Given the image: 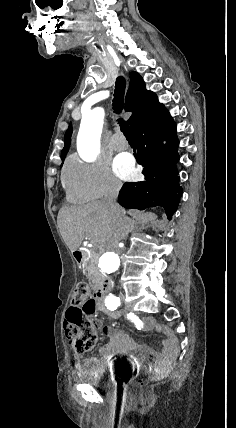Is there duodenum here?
Returning a JSON list of instances; mask_svg holds the SVG:
<instances>
[{
    "instance_id": "obj_1",
    "label": "duodenum",
    "mask_w": 236,
    "mask_h": 428,
    "mask_svg": "<svg viewBox=\"0 0 236 428\" xmlns=\"http://www.w3.org/2000/svg\"><path fill=\"white\" fill-rule=\"evenodd\" d=\"M73 258L76 263L81 266L84 261V251L82 249L73 250ZM113 283L106 278L93 290V297L97 302L105 300L112 290Z\"/></svg>"
}]
</instances>
